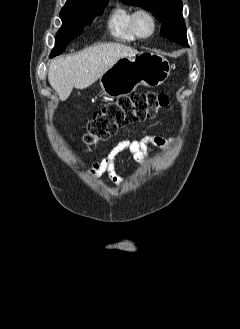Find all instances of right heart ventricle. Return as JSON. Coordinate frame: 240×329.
Instances as JSON below:
<instances>
[{
    "mask_svg": "<svg viewBox=\"0 0 240 329\" xmlns=\"http://www.w3.org/2000/svg\"><path fill=\"white\" fill-rule=\"evenodd\" d=\"M135 10L125 6L117 5L108 19L109 32L120 41H133L137 37L132 30V16Z\"/></svg>",
    "mask_w": 240,
    "mask_h": 329,
    "instance_id": "obj_1",
    "label": "right heart ventricle"
}]
</instances>
